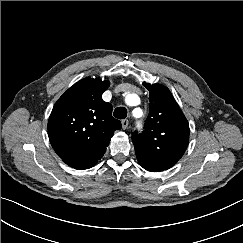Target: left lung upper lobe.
<instances>
[{
	"label": "left lung upper lobe",
	"mask_w": 243,
	"mask_h": 243,
	"mask_svg": "<svg viewBox=\"0 0 243 243\" xmlns=\"http://www.w3.org/2000/svg\"><path fill=\"white\" fill-rule=\"evenodd\" d=\"M143 85L149 90V115L144 131L132 141L140 165L151 172L174 166L189 142V124L169 89L161 84Z\"/></svg>",
	"instance_id": "left-lung-upper-lobe-1"
}]
</instances>
